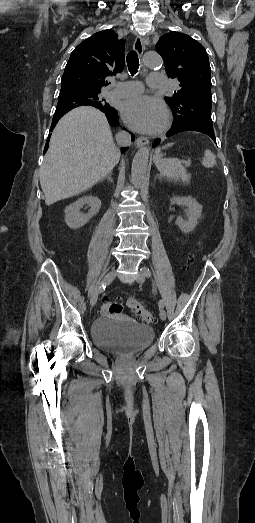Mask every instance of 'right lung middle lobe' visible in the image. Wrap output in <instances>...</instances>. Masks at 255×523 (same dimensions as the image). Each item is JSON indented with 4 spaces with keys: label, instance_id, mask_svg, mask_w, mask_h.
Masks as SVG:
<instances>
[{
    "label": "right lung middle lobe",
    "instance_id": "obj_1",
    "mask_svg": "<svg viewBox=\"0 0 255 523\" xmlns=\"http://www.w3.org/2000/svg\"><path fill=\"white\" fill-rule=\"evenodd\" d=\"M101 92L82 90H61L58 102H90L99 100Z\"/></svg>",
    "mask_w": 255,
    "mask_h": 523
}]
</instances>
